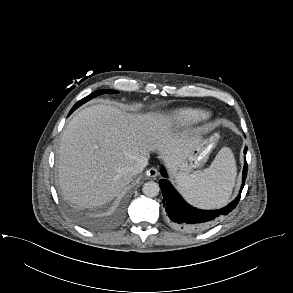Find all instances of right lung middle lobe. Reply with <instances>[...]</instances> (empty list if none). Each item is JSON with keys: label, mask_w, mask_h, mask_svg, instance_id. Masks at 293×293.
Returning a JSON list of instances; mask_svg holds the SVG:
<instances>
[{"label": "right lung middle lobe", "mask_w": 293, "mask_h": 293, "mask_svg": "<svg viewBox=\"0 0 293 293\" xmlns=\"http://www.w3.org/2000/svg\"><path fill=\"white\" fill-rule=\"evenodd\" d=\"M117 91H114V90H105V89H101V90H97L95 92H93L92 94L88 95L87 97L81 99L80 101H78L74 106L73 108L71 109L70 111V114L75 110L77 109L79 106H81L82 104H84L85 102L93 99L94 97L98 96V95H101L103 93H109V94H113V93H116Z\"/></svg>", "instance_id": "dd1d6c3e"}]
</instances>
